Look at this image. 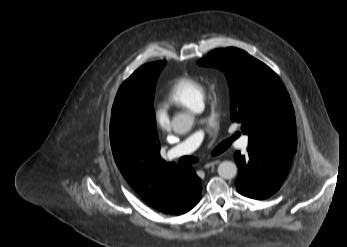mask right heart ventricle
Returning a JSON list of instances; mask_svg holds the SVG:
<instances>
[{
  "label": "right heart ventricle",
  "mask_w": 347,
  "mask_h": 247,
  "mask_svg": "<svg viewBox=\"0 0 347 247\" xmlns=\"http://www.w3.org/2000/svg\"><path fill=\"white\" fill-rule=\"evenodd\" d=\"M204 97L205 87L200 80L191 76H179L171 81L164 101L167 105L196 110L203 103Z\"/></svg>",
  "instance_id": "right-heart-ventricle-1"
}]
</instances>
